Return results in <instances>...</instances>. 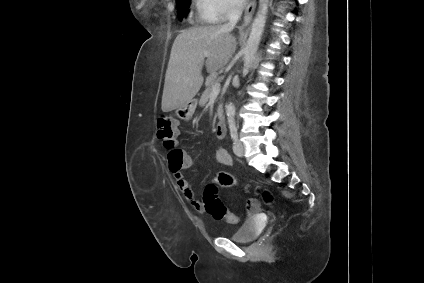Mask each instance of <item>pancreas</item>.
<instances>
[{"mask_svg": "<svg viewBox=\"0 0 424 283\" xmlns=\"http://www.w3.org/2000/svg\"><path fill=\"white\" fill-rule=\"evenodd\" d=\"M219 81H220V79H219L216 75H214V76H209V77L207 78V81H206V89H205V91H204V93L202 94L201 99H200V103H201V104H205V103L208 101V99H209V98H210V96H211L212 86H213L215 83L219 82ZM221 108H222V105H219L218 110H219V111H221Z\"/></svg>", "mask_w": 424, "mask_h": 283, "instance_id": "obj_1", "label": "pancreas"}]
</instances>
